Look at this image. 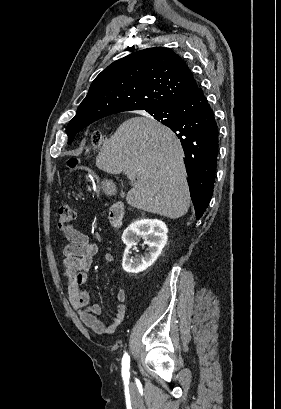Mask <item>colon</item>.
<instances>
[{"label": "colon", "mask_w": 281, "mask_h": 409, "mask_svg": "<svg viewBox=\"0 0 281 409\" xmlns=\"http://www.w3.org/2000/svg\"><path fill=\"white\" fill-rule=\"evenodd\" d=\"M106 141V135L100 131L95 130L91 136L90 146L93 149H98ZM79 160L75 157L70 158L66 163V170L72 171L78 167ZM76 218L75 207L69 203H60L56 209V220L59 228L64 229L71 225Z\"/></svg>", "instance_id": "1"}]
</instances>
